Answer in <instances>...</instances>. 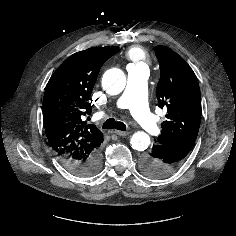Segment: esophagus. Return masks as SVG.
<instances>
[{
  "instance_id": "obj_1",
  "label": "esophagus",
  "mask_w": 236,
  "mask_h": 236,
  "mask_svg": "<svg viewBox=\"0 0 236 236\" xmlns=\"http://www.w3.org/2000/svg\"><path fill=\"white\" fill-rule=\"evenodd\" d=\"M115 134L119 135V136H127L129 134V132H124V131H120V130H115Z\"/></svg>"
}]
</instances>
